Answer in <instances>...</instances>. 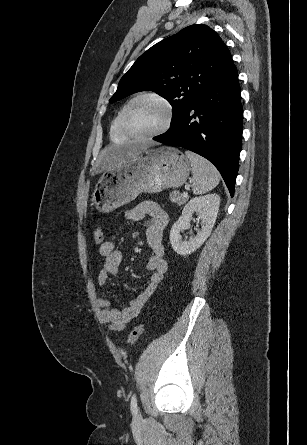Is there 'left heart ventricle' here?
<instances>
[{
  "label": "left heart ventricle",
  "instance_id": "obj_1",
  "mask_svg": "<svg viewBox=\"0 0 307 445\" xmlns=\"http://www.w3.org/2000/svg\"><path fill=\"white\" fill-rule=\"evenodd\" d=\"M165 117L164 107L160 103L149 99L137 102L130 111L131 124L140 133L158 129L163 124Z\"/></svg>",
  "mask_w": 307,
  "mask_h": 445
}]
</instances>
